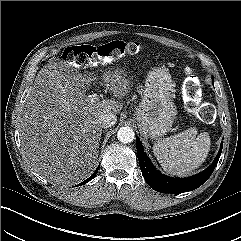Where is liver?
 <instances>
[{"instance_id": "obj_1", "label": "liver", "mask_w": 241, "mask_h": 241, "mask_svg": "<svg viewBox=\"0 0 241 241\" xmlns=\"http://www.w3.org/2000/svg\"><path fill=\"white\" fill-rule=\"evenodd\" d=\"M125 77L122 69L104 72L103 83L113 98L100 101L85 95V84L96 79L93 73L74 72L61 61L38 72L19 121L23 154L35 172L57 185L75 184L91 174L102 133L99 115L121 111L120 100L130 90Z\"/></svg>"}]
</instances>
